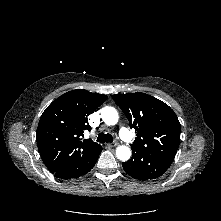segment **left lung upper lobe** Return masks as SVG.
Segmentation results:
<instances>
[{"instance_id":"left-lung-upper-lobe-1","label":"left lung upper lobe","mask_w":221,"mask_h":221,"mask_svg":"<svg viewBox=\"0 0 221 221\" xmlns=\"http://www.w3.org/2000/svg\"><path fill=\"white\" fill-rule=\"evenodd\" d=\"M137 132L132 150L174 159L181 127L175 112L164 102L145 93L112 95Z\"/></svg>"}]
</instances>
